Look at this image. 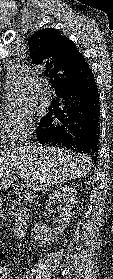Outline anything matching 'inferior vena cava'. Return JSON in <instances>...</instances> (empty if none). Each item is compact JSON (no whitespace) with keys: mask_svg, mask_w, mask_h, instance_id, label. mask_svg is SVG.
<instances>
[{"mask_svg":"<svg viewBox=\"0 0 113 279\" xmlns=\"http://www.w3.org/2000/svg\"><path fill=\"white\" fill-rule=\"evenodd\" d=\"M25 139H26V140L28 139V138H27V136H26V138H25ZM26 144H30V145H31L32 143H29V142L27 141V142H26Z\"/></svg>","mask_w":113,"mask_h":279,"instance_id":"602c4592","label":"inferior vena cava"}]
</instances>
